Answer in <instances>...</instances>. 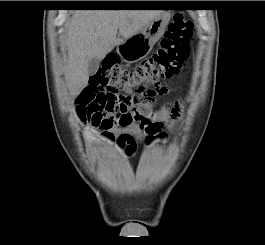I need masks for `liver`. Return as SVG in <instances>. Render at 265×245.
Instances as JSON below:
<instances>
[{"instance_id":"obj_1","label":"liver","mask_w":265,"mask_h":245,"mask_svg":"<svg viewBox=\"0 0 265 245\" xmlns=\"http://www.w3.org/2000/svg\"><path fill=\"white\" fill-rule=\"evenodd\" d=\"M160 13L159 10H76L65 36L64 76L70 95L77 96L88 84L87 67L91 59H103Z\"/></svg>"}]
</instances>
